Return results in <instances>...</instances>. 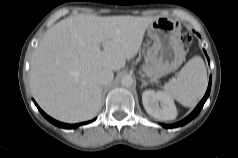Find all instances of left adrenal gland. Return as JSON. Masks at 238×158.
Instances as JSON below:
<instances>
[{
  "mask_svg": "<svg viewBox=\"0 0 238 158\" xmlns=\"http://www.w3.org/2000/svg\"><path fill=\"white\" fill-rule=\"evenodd\" d=\"M140 80H141V82H142L141 88L143 89V87H145V86L148 85V82L145 81V80L143 79V77H141Z\"/></svg>",
  "mask_w": 238,
  "mask_h": 158,
  "instance_id": "a2214340",
  "label": "left adrenal gland"
}]
</instances>
